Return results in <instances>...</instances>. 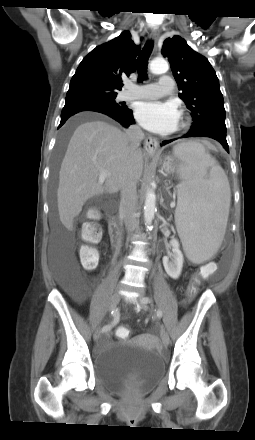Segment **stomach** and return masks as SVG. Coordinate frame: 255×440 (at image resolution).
I'll use <instances>...</instances> for the list:
<instances>
[{"label": "stomach", "instance_id": "1", "mask_svg": "<svg viewBox=\"0 0 255 440\" xmlns=\"http://www.w3.org/2000/svg\"><path fill=\"white\" fill-rule=\"evenodd\" d=\"M163 165L164 170L167 173L173 174L180 169V163L177 157H166L165 159H159Z\"/></svg>", "mask_w": 255, "mask_h": 440}]
</instances>
